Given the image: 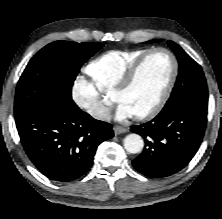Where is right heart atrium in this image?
I'll return each instance as SVG.
<instances>
[{"label":"right heart atrium","mask_w":222,"mask_h":219,"mask_svg":"<svg viewBox=\"0 0 222 219\" xmlns=\"http://www.w3.org/2000/svg\"><path fill=\"white\" fill-rule=\"evenodd\" d=\"M71 99L80 109L92 119L105 121L109 117L110 105L104 103L94 84L85 77L78 75L72 82Z\"/></svg>","instance_id":"1"}]
</instances>
